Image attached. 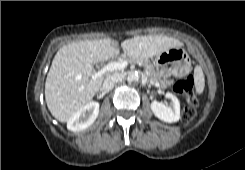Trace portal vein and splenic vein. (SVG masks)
<instances>
[{
    "label": "portal vein and splenic vein",
    "mask_w": 245,
    "mask_h": 170,
    "mask_svg": "<svg viewBox=\"0 0 245 170\" xmlns=\"http://www.w3.org/2000/svg\"><path fill=\"white\" fill-rule=\"evenodd\" d=\"M128 65V61H117L110 62L107 65L103 66L100 71L94 74L93 78H97L98 76L104 74L105 72L114 71V70H123ZM91 67V65H89Z\"/></svg>",
    "instance_id": "18ae733b"
}]
</instances>
